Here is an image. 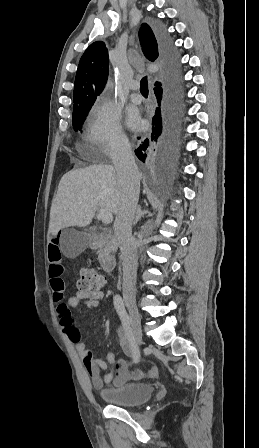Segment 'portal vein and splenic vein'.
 I'll list each match as a JSON object with an SVG mask.
<instances>
[{
    "instance_id": "portal-vein-and-splenic-vein-1",
    "label": "portal vein and splenic vein",
    "mask_w": 259,
    "mask_h": 448,
    "mask_svg": "<svg viewBox=\"0 0 259 448\" xmlns=\"http://www.w3.org/2000/svg\"><path fill=\"white\" fill-rule=\"evenodd\" d=\"M99 216L103 224H111V222H113V216L111 212H107V210H101Z\"/></svg>"
}]
</instances>
